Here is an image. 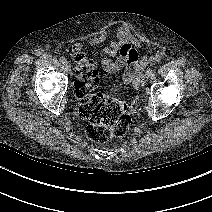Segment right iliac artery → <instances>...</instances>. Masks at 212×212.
<instances>
[{
    "mask_svg": "<svg viewBox=\"0 0 212 212\" xmlns=\"http://www.w3.org/2000/svg\"><path fill=\"white\" fill-rule=\"evenodd\" d=\"M60 62L63 63V64H65L67 62V60H66L65 57L62 56V57H60Z\"/></svg>",
    "mask_w": 212,
    "mask_h": 212,
    "instance_id": "right-iliac-artery-1",
    "label": "right iliac artery"
}]
</instances>
